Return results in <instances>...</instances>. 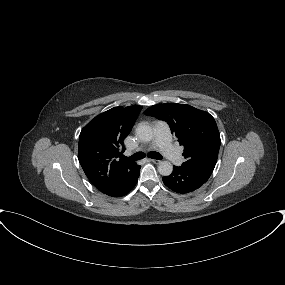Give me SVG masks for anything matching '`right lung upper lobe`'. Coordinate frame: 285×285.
<instances>
[{
    "label": "right lung upper lobe",
    "mask_w": 285,
    "mask_h": 285,
    "mask_svg": "<svg viewBox=\"0 0 285 285\" xmlns=\"http://www.w3.org/2000/svg\"><path fill=\"white\" fill-rule=\"evenodd\" d=\"M142 107H114L92 119L79 136L78 159L90 180L102 189L128 177L135 162L118 160L124 151L123 140L130 133Z\"/></svg>",
    "instance_id": "right-lung-upper-lobe-1"
}]
</instances>
